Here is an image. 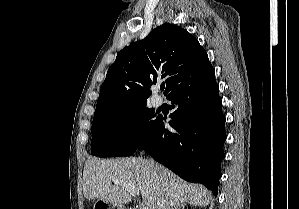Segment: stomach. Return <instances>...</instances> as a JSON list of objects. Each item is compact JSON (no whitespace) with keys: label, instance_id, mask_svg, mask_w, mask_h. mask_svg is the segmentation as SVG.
Here are the masks:
<instances>
[{"label":"stomach","instance_id":"obj_1","mask_svg":"<svg viewBox=\"0 0 299 209\" xmlns=\"http://www.w3.org/2000/svg\"><path fill=\"white\" fill-rule=\"evenodd\" d=\"M113 205L111 206L109 202L103 200H97L94 204V209H113ZM117 209H124L122 206H118Z\"/></svg>","mask_w":299,"mask_h":209}]
</instances>
